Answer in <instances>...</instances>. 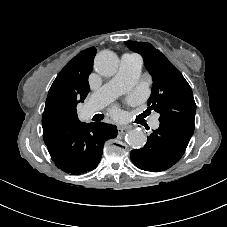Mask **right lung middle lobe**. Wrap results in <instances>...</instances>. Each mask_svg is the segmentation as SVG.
<instances>
[{"label":"right lung middle lobe","mask_w":227,"mask_h":227,"mask_svg":"<svg viewBox=\"0 0 227 227\" xmlns=\"http://www.w3.org/2000/svg\"><path fill=\"white\" fill-rule=\"evenodd\" d=\"M76 105L57 103L48 113L50 124L58 129H66L77 121Z\"/></svg>","instance_id":"dd1d6c3e"}]
</instances>
